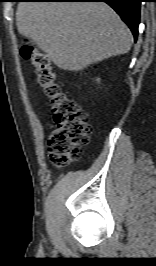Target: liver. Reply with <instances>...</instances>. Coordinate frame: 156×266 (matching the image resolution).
I'll use <instances>...</instances> for the list:
<instances>
[{
	"label": "liver",
	"mask_w": 156,
	"mask_h": 266,
	"mask_svg": "<svg viewBox=\"0 0 156 266\" xmlns=\"http://www.w3.org/2000/svg\"><path fill=\"white\" fill-rule=\"evenodd\" d=\"M16 25L64 70H82L132 45L128 27L102 2H21Z\"/></svg>",
	"instance_id": "liver-1"
}]
</instances>
